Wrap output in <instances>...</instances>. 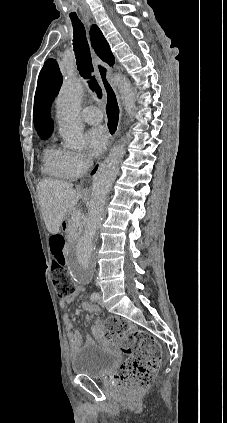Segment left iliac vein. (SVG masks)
<instances>
[{"instance_id": "4c4485c4", "label": "left iliac vein", "mask_w": 227, "mask_h": 423, "mask_svg": "<svg viewBox=\"0 0 227 423\" xmlns=\"http://www.w3.org/2000/svg\"><path fill=\"white\" fill-rule=\"evenodd\" d=\"M99 304H100L101 306H104L102 296H100V297H99Z\"/></svg>"}]
</instances>
